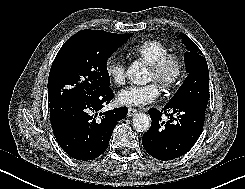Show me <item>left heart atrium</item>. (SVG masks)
<instances>
[{
  "mask_svg": "<svg viewBox=\"0 0 245 189\" xmlns=\"http://www.w3.org/2000/svg\"><path fill=\"white\" fill-rule=\"evenodd\" d=\"M157 84L151 82L144 86L130 85L118 94L119 102L126 106H143L153 102L159 96Z\"/></svg>",
  "mask_w": 245,
  "mask_h": 189,
  "instance_id": "left-heart-atrium-1",
  "label": "left heart atrium"
}]
</instances>
